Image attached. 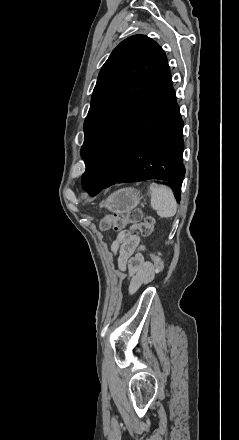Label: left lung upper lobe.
<instances>
[{"mask_svg": "<svg viewBox=\"0 0 239 440\" xmlns=\"http://www.w3.org/2000/svg\"><path fill=\"white\" fill-rule=\"evenodd\" d=\"M167 65L163 49L151 38L122 41L103 65L84 123L81 155L85 165L108 131L134 106Z\"/></svg>", "mask_w": 239, "mask_h": 440, "instance_id": "left-lung-upper-lobe-1", "label": "left lung upper lobe"}]
</instances>
